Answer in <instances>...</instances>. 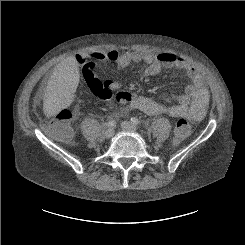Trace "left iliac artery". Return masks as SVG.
<instances>
[{
	"instance_id": "left-iliac-artery-1",
	"label": "left iliac artery",
	"mask_w": 245,
	"mask_h": 245,
	"mask_svg": "<svg viewBox=\"0 0 245 245\" xmlns=\"http://www.w3.org/2000/svg\"><path fill=\"white\" fill-rule=\"evenodd\" d=\"M131 122H132L133 124H135V125L140 124V120H139L138 118H136V117H132V118H131Z\"/></svg>"
}]
</instances>
